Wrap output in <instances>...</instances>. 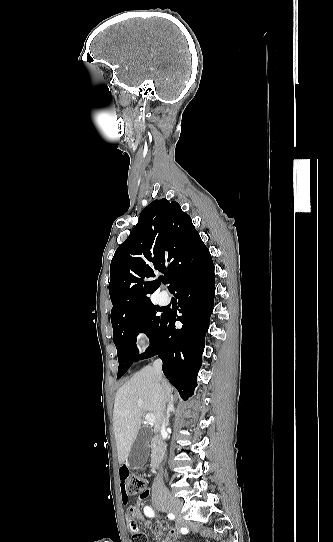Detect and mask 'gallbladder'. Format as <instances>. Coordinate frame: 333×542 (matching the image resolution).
<instances>
[{"label": "gallbladder", "mask_w": 333, "mask_h": 542, "mask_svg": "<svg viewBox=\"0 0 333 542\" xmlns=\"http://www.w3.org/2000/svg\"><path fill=\"white\" fill-rule=\"evenodd\" d=\"M151 428H141L127 458L130 470H139L147 462L149 456V442L151 440Z\"/></svg>", "instance_id": "gallbladder-1"}]
</instances>
